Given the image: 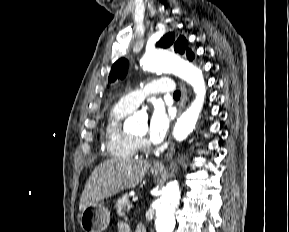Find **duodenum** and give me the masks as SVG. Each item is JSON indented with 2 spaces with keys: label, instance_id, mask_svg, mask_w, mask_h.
Returning <instances> with one entry per match:
<instances>
[{
  "label": "duodenum",
  "instance_id": "duodenum-1",
  "mask_svg": "<svg viewBox=\"0 0 289 232\" xmlns=\"http://www.w3.org/2000/svg\"><path fill=\"white\" fill-rule=\"evenodd\" d=\"M135 232H147L144 226H138Z\"/></svg>",
  "mask_w": 289,
  "mask_h": 232
}]
</instances>
